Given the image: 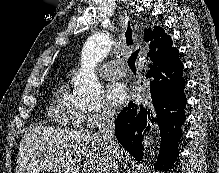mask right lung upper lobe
Instances as JSON below:
<instances>
[{
    "mask_svg": "<svg viewBox=\"0 0 219 173\" xmlns=\"http://www.w3.org/2000/svg\"><path fill=\"white\" fill-rule=\"evenodd\" d=\"M144 39L151 41L150 52L148 56L155 62L159 56H169L178 50L172 46V40L170 36L165 35L164 30L161 27H154L153 30L146 29Z\"/></svg>",
    "mask_w": 219,
    "mask_h": 173,
    "instance_id": "cb5924a9",
    "label": "right lung upper lobe"
}]
</instances>
